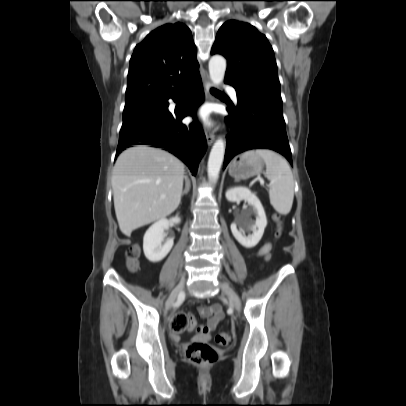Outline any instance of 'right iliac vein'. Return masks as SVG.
Returning a JSON list of instances; mask_svg holds the SVG:
<instances>
[{"instance_id": "63e3f726", "label": "right iliac vein", "mask_w": 406, "mask_h": 406, "mask_svg": "<svg viewBox=\"0 0 406 406\" xmlns=\"http://www.w3.org/2000/svg\"><path fill=\"white\" fill-rule=\"evenodd\" d=\"M184 285H185V281H184V279H182L177 284V286L173 289V291L171 292L170 296L168 297V299H167V301L165 303V309L166 310H169L171 308V306L175 302L178 295L183 291Z\"/></svg>"}]
</instances>
